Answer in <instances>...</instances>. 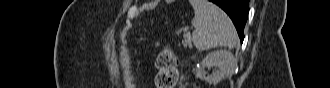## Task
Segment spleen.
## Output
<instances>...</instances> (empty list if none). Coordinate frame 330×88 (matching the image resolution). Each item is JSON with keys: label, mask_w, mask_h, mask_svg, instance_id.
Listing matches in <instances>:
<instances>
[{"label": "spleen", "mask_w": 330, "mask_h": 88, "mask_svg": "<svg viewBox=\"0 0 330 88\" xmlns=\"http://www.w3.org/2000/svg\"><path fill=\"white\" fill-rule=\"evenodd\" d=\"M190 3L195 13L191 21L195 27L192 40L199 51L236 46V29L222 9L207 0H190Z\"/></svg>", "instance_id": "1"}]
</instances>
